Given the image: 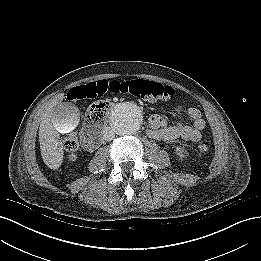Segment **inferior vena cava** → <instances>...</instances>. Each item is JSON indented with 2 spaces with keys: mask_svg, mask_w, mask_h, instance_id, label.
Masks as SVG:
<instances>
[{
  "mask_svg": "<svg viewBox=\"0 0 261 261\" xmlns=\"http://www.w3.org/2000/svg\"><path fill=\"white\" fill-rule=\"evenodd\" d=\"M102 137L106 141H111V140L114 139L115 133H114V131L110 127H106L102 131Z\"/></svg>",
  "mask_w": 261,
  "mask_h": 261,
  "instance_id": "1",
  "label": "inferior vena cava"
}]
</instances>
